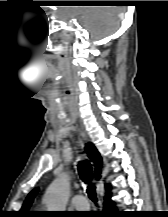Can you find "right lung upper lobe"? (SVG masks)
I'll return each mask as SVG.
<instances>
[{
  "label": "right lung upper lobe",
  "mask_w": 168,
  "mask_h": 217,
  "mask_svg": "<svg viewBox=\"0 0 168 217\" xmlns=\"http://www.w3.org/2000/svg\"><path fill=\"white\" fill-rule=\"evenodd\" d=\"M85 150H86L85 152L88 154L91 160H95L99 166L102 164L101 156L93 144L88 143L87 146L85 147ZM99 166L95 169L97 179H100V167ZM106 186L109 187L108 185ZM37 191H38V188H35L28 194L20 210V214L22 217H33L35 215L34 212L28 211V209L34 200V197Z\"/></svg>",
  "instance_id": "obj_1"
}]
</instances>
